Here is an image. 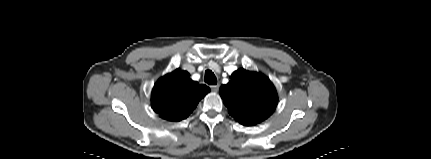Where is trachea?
Masks as SVG:
<instances>
[{"mask_svg":"<svg viewBox=\"0 0 431 159\" xmlns=\"http://www.w3.org/2000/svg\"><path fill=\"white\" fill-rule=\"evenodd\" d=\"M205 82L208 83L209 85L217 84V78L211 70L205 71Z\"/></svg>","mask_w":431,"mask_h":159,"instance_id":"trachea-1","label":"trachea"}]
</instances>
